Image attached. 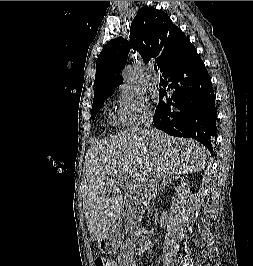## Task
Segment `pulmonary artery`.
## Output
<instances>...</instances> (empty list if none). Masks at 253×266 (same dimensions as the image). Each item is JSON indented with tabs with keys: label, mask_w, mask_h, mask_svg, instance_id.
I'll list each match as a JSON object with an SVG mask.
<instances>
[{
	"label": "pulmonary artery",
	"mask_w": 253,
	"mask_h": 266,
	"mask_svg": "<svg viewBox=\"0 0 253 266\" xmlns=\"http://www.w3.org/2000/svg\"><path fill=\"white\" fill-rule=\"evenodd\" d=\"M147 71L149 73V79L155 84L159 83L160 79L158 75L153 72V68L151 66H148Z\"/></svg>",
	"instance_id": "e3ab8cb5"
}]
</instances>
